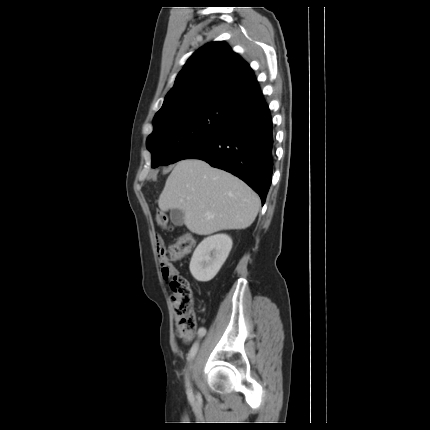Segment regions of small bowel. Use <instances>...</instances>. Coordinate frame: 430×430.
Segmentation results:
<instances>
[{
    "mask_svg": "<svg viewBox=\"0 0 430 430\" xmlns=\"http://www.w3.org/2000/svg\"><path fill=\"white\" fill-rule=\"evenodd\" d=\"M157 246L162 245V238L158 235L156 236ZM159 263L161 266V272L163 276V281L165 283H170L172 281V276L178 275V270L175 266H173L170 262H168V258L165 257L164 252L158 253ZM206 334V328L200 327L198 330V335L204 336Z\"/></svg>",
    "mask_w": 430,
    "mask_h": 430,
    "instance_id": "obj_1",
    "label": "small bowel"
}]
</instances>
